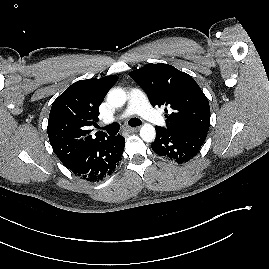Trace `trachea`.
<instances>
[{
    "mask_svg": "<svg viewBox=\"0 0 269 269\" xmlns=\"http://www.w3.org/2000/svg\"><path fill=\"white\" fill-rule=\"evenodd\" d=\"M141 120L138 118H132L128 121V124L132 127H136L141 125ZM104 130L107 131L108 134L110 135H114L117 134L119 132L120 129V125L118 123H112L106 127L103 128Z\"/></svg>",
    "mask_w": 269,
    "mask_h": 269,
    "instance_id": "trachea-1",
    "label": "trachea"
}]
</instances>
